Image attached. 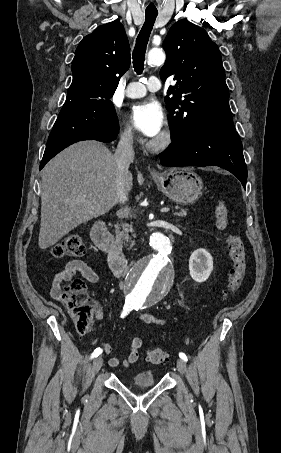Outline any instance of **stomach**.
<instances>
[{"mask_svg":"<svg viewBox=\"0 0 281 453\" xmlns=\"http://www.w3.org/2000/svg\"><path fill=\"white\" fill-rule=\"evenodd\" d=\"M162 192L174 202L192 204L200 198L203 190L202 178L193 172V168H168L154 176Z\"/></svg>","mask_w":281,"mask_h":453,"instance_id":"1","label":"stomach"}]
</instances>
